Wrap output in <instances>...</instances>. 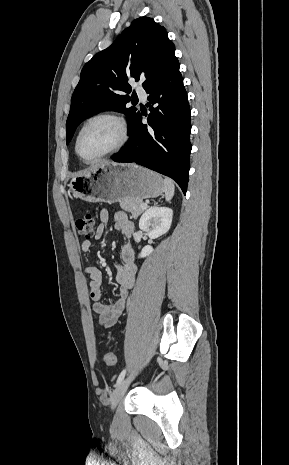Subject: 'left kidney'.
Instances as JSON below:
<instances>
[{"instance_id": "5707ae66", "label": "left kidney", "mask_w": 289, "mask_h": 465, "mask_svg": "<svg viewBox=\"0 0 289 465\" xmlns=\"http://www.w3.org/2000/svg\"><path fill=\"white\" fill-rule=\"evenodd\" d=\"M173 210L167 207H151L147 209L139 220V228L150 238H158L166 234L172 224ZM153 248L147 245L142 248L139 258L149 256Z\"/></svg>"}]
</instances>
